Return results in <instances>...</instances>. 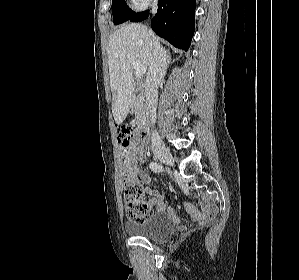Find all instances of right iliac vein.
<instances>
[{"instance_id":"63e3f726","label":"right iliac vein","mask_w":299,"mask_h":280,"mask_svg":"<svg viewBox=\"0 0 299 280\" xmlns=\"http://www.w3.org/2000/svg\"><path fill=\"white\" fill-rule=\"evenodd\" d=\"M154 154L163 163L168 164V165H173L174 159L172 157V154L165 147L157 148L154 151Z\"/></svg>"}]
</instances>
